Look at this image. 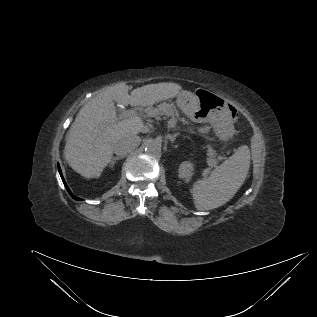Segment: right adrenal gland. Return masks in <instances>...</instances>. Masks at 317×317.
Listing matches in <instances>:
<instances>
[{"mask_svg":"<svg viewBox=\"0 0 317 317\" xmlns=\"http://www.w3.org/2000/svg\"><path fill=\"white\" fill-rule=\"evenodd\" d=\"M123 158H124V156L113 157V158L110 160L109 166L112 168V167L115 165V163H116L117 160H121V159H123Z\"/></svg>","mask_w":317,"mask_h":317,"instance_id":"1","label":"right adrenal gland"}]
</instances>
